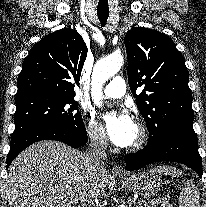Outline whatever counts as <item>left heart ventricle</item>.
I'll use <instances>...</instances> for the list:
<instances>
[{
  "label": "left heart ventricle",
  "instance_id": "left-heart-ventricle-1",
  "mask_svg": "<svg viewBox=\"0 0 206 207\" xmlns=\"http://www.w3.org/2000/svg\"><path fill=\"white\" fill-rule=\"evenodd\" d=\"M137 136H138V130H137V127H136V129H135V135H134V141L136 140Z\"/></svg>",
  "mask_w": 206,
  "mask_h": 207
}]
</instances>
